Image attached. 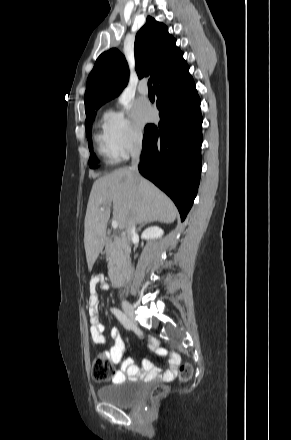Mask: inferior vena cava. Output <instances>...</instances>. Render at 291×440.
<instances>
[{"label":"inferior vena cava","mask_w":291,"mask_h":440,"mask_svg":"<svg viewBox=\"0 0 291 440\" xmlns=\"http://www.w3.org/2000/svg\"><path fill=\"white\" fill-rule=\"evenodd\" d=\"M140 153H141V142H138L136 144L135 148L133 149V151L131 152V157H132L131 170L135 173H138V164H139ZM125 235H126V239L128 241H130L131 238L134 235H136L135 222L131 216H129L128 220H127Z\"/></svg>","instance_id":"1"}]
</instances>
